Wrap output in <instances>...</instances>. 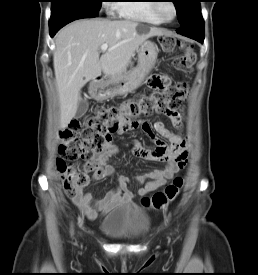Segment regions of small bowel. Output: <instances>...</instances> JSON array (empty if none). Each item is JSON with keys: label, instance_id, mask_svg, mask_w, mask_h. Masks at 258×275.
Wrapping results in <instances>:
<instances>
[{"label": "small bowel", "instance_id": "1", "mask_svg": "<svg viewBox=\"0 0 258 275\" xmlns=\"http://www.w3.org/2000/svg\"><path fill=\"white\" fill-rule=\"evenodd\" d=\"M153 78H159L166 86L170 84V79L166 76H152L150 79ZM168 117L177 130H182L184 120L182 112L173 111L168 114ZM137 128L142 129L153 140L156 147L154 149H146L139 141L134 140L131 142L132 154L149 161L163 162L165 167L138 175L133 179L125 175H117L115 168L108 163V160L118 153V147L108 141L104 148L99 152L93 153L90 161L85 164L88 166L87 171L93 172L94 181L114 177L116 180L115 188L97 200L93 199L90 193L80 194L74 198L76 206L89 219H96L99 213L107 214L119 205L131 203L135 198V194L128 188L130 183L143 184L137 194L144 196L163 186L186 165L188 143L180 133L170 132L163 123L156 122L151 124L146 120H139ZM126 131L121 130L119 133L123 134Z\"/></svg>", "mask_w": 258, "mask_h": 275}]
</instances>
